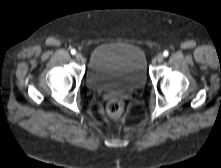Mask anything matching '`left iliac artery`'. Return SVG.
<instances>
[{
  "label": "left iliac artery",
  "instance_id": "44dca946",
  "mask_svg": "<svg viewBox=\"0 0 221 168\" xmlns=\"http://www.w3.org/2000/svg\"><path fill=\"white\" fill-rule=\"evenodd\" d=\"M163 55H164L165 57H167V56L169 55V52H168L167 50H165V51L163 52Z\"/></svg>",
  "mask_w": 221,
  "mask_h": 168
}]
</instances>
